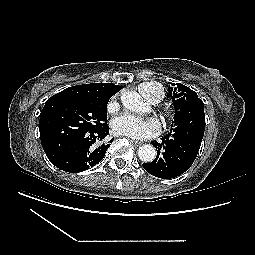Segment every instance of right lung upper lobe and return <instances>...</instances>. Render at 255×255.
Returning <instances> with one entry per match:
<instances>
[{
	"label": "right lung upper lobe",
	"instance_id": "cb5924a9",
	"mask_svg": "<svg viewBox=\"0 0 255 255\" xmlns=\"http://www.w3.org/2000/svg\"><path fill=\"white\" fill-rule=\"evenodd\" d=\"M122 87L112 83H92L69 87L52 97H107L111 98Z\"/></svg>",
	"mask_w": 255,
	"mask_h": 255
}]
</instances>
